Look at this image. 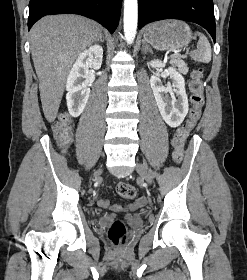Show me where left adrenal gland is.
Segmentation results:
<instances>
[{
  "label": "left adrenal gland",
  "instance_id": "obj_1",
  "mask_svg": "<svg viewBox=\"0 0 247 280\" xmlns=\"http://www.w3.org/2000/svg\"><path fill=\"white\" fill-rule=\"evenodd\" d=\"M148 51L152 52V49L145 41H143L142 52L146 54Z\"/></svg>",
  "mask_w": 247,
  "mask_h": 280
}]
</instances>
